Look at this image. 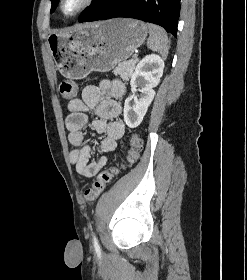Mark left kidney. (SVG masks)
<instances>
[{
    "instance_id": "left-kidney-1",
    "label": "left kidney",
    "mask_w": 247,
    "mask_h": 280,
    "mask_svg": "<svg viewBox=\"0 0 247 280\" xmlns=\"http://www.w3.org/2000/svg\"><path fill=\"white\" fill-rule=\"evenodd\" d=\"M163 69L164 60L156 54L146 55L136 66L130 82L132 95L125 100L123 111L128 127L136 128L142 122L154 99V87L159 84ZM137 91L140 92L139 97L136 96Z\"/></svg>"
}]
</instances>
